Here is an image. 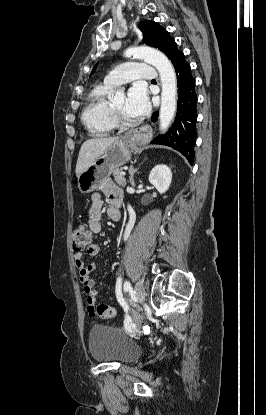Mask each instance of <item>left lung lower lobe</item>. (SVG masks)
I'll return each instance as SVG.
<instances>
[{"mask_svg": "<svg viewBox=\"0 0 266 415\" xmlns=\"http://www.w3.org/2000/svg\"><path fill=\"white\" fill-rule=\"evenodd\" d=\"M178 85V105L175 121L169 131L156 137L152 143L170 146L181 152L193 164L196 141L197 96L195 80L191 75L190 65L180 53L173 62ZM158 112L152 115L156 121Z\"/></svg>", "mask_w": 266, "mask_h": 415, "instance_id": "left-lung-lower-lobe-1", "label": "left lung lower lobe"}]
</instances>
